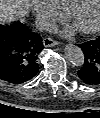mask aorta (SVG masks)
Returning <instances> with one entry per match:
<instances>
[{
    "instance_id": "762f6f07",
    "label": "aorta",
    "mask_w": 100,
    "mask_h": 118,
    "mask_svg": "<svg viewBox=\"0 0 100 118\" xmlns=\"http://www.w3.org/2000/svg\"><path fill=\"white\" fill-rule=\"evenodd\" d=\"M65 56L73 66H82L85 61L84 53L76 45L68 44L65 46Z\"/></svg>"
}]
</instances>
